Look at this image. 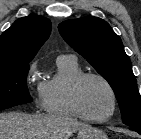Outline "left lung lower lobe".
Returning <instances> with one entry per match:
<instances>
[{
  "label": "left lung lower lobe",
  "instance_id": "0a47b994",
  "mask_svg": "<svg viewBox=\"0 0 141 139\" xmlns=\"http://www.w3.org/2000/svg\"><path fill=\"white\" fill-rule=\"evenodd\" d=\"M130 130L136 131L141 135V127L139 126H131Z\"/></svg>",
  "mask_w": 141,
  "mask_h": 139
}]
</instances>
